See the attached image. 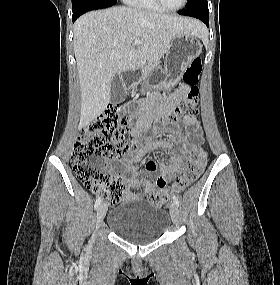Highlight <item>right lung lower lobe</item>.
Masks as SVG:
<instances>
[{
    "instance_id": "right-lung-lower-lobe-1",
    "label": "right lung lower lobe",
    "mask_w": 280,
    "mask_h": 285,
    "mask_svg": "<svg viewBox=\"0 0 280 285\" xmlns=\"http://www.w3.org/2000/svg\"><path fill=\"white\" fill-rule=\"evenodd\" d=\"M110 6H113V5L94 6V7H91V8H86V9L79 10L77 12H73L72 20L74 22L80 15H82L83 13H85L87 11L95 10V9H101V8H106V7H110Z\"/></svg>"
}]
</instances>
